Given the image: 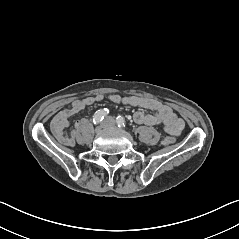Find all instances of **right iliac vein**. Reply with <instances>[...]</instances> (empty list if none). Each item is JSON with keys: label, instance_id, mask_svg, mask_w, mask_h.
<instances>
[{"label": "right iliac vein", "instance_id": "right-iliac-vein-1", "mask_svg": "<svg viewBox=\"0 0 239 239\" xmlns=\"http://www.w3.org/2000/svg\"><path fill=\"white\" fill-rule=\"evenodd\" d=\"M107 126H108V122L105 121L104 123H102V125H101L100 127H98V130H99L100 128H105V127H107Z\"/></svg>", "mask_w": 239, "mask_h": 239}]
</instances>
